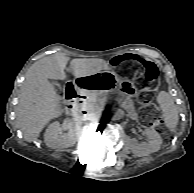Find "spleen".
Segmentation results:
<instances>
[{
    "label": "spleen",
    "instance_id": "1",
    "mask_svg": "<svg viewBox=\"0 0 194 193\" xmlns=\"http://www.w3.org/2000/svg\"><path fill=\"white\" fill-rule=\"evenodd\" d=\"M158 103L163 111V118L166 127L173 132L178 124V110L174 103L173 98L169 93L161 91L157 98Z\"/></svg>",
    "mask_w": 194,
    "mask_h": 193
}]
</instances>
